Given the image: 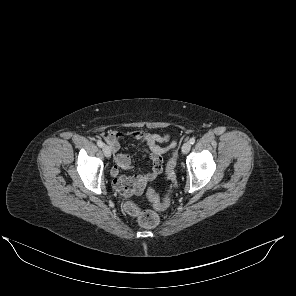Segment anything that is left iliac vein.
Returning <instances> with one entry per match:
<instances>
[{"mask_svg":"<svg viewBox=\"0 0 296 296\" xmlns=\"http://www.w3.org/2000/svg\"><path fill=\"white\" fill-rule=\"evenodd\" d=\"M191 149V144L190 142H185L182 146V153L187 154Z\"/></svg>","mask_w":296,"mask_h":296,"instance_id":"1","label":"left iliac vein"}]
</instances>
